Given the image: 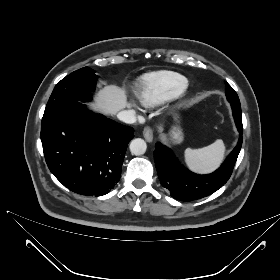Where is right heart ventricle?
I'll return each mask as SVG.
<instances>
[{
  "mask_svg": "<svg viewBox=\"0 0 280 280\" xmlns=\"http://www.w3.org/2000/svg\"><path fill=\"white\" fill-rule=\"evenodd\" d=\"M187 79L173 71H158L142 76L138 81L137 96L142 105L154 107L181 94Z\"/></svg>",
  "mask_w": 280,
  "mask_h": 280,
  "instance_id": "1",
  "label": "right heart ventricle"
}]
</instances>
